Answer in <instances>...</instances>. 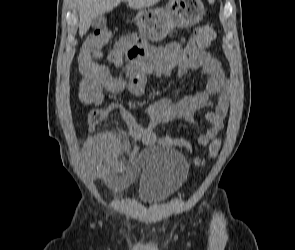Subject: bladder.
I'll return each mask as SVG.
<instances>
[{
    "mask_svg": "<svg viewBox=\"0 0 295 250\" xmlns=\"http://www.w3.org/2000/svg\"><path fill=\"white\" fill-rule=\"evenodd\" d=\"M140 170L139 198L146 204L166 201L184 182L188 162L177 150L154 147L143 150L137 157Z\"/></svg>",
    "mask_w": 295,
    "mask_h": 250,
    "instance_id": "obj_1",
    "label": "bladder"
}]
</instances>
